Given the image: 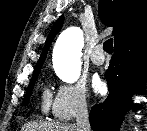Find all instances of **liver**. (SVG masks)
<instances>
[{
    "label": "liver",
    "instance_id": "liver-1",
    "mask_svg": "<svg viewBox=\"0 0 147 131\" xmlns=\"http://www.w3.org/2000/svg\"><path fill=\"white\" fill-rule=\"evenodd\" d=\"M21 131H78L74 124H60L47 122H29Z\"/></svg>",
    "mask_w": 147,
    "mask_h": 131
}]
</instances>
